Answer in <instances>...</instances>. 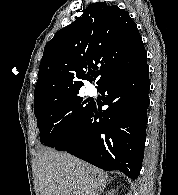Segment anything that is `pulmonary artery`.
Instances as JSON below:
<instances>
[{
	"mask_svg": "<svg viewBox=\"0 0 178 195\" xmlns=\"http://www.w3.org/2000/svg\"><path fill=\"white\" fill-rule=\"evenodd\" d=\"M87 93L89 94V95H95L96 94V88H95V86H93V85H89L88 87H87Z\"/></svg>",
	"mask_w": 178,
	"mask_h": 195,
	"instance_id": "pulmonary-artery-1",
	"label": "pulmonary artery"
}]
</instances>
